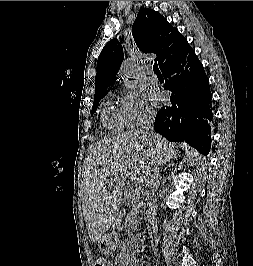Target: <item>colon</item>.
I'll return each mask as SVG.
<instances>
[{
  "mask_svg": "<svg viewBox=\"0 0 253 266\" xmlns=\"http://www.w3.org/2000/svg\"><path fill=\"white\" fill-rule=\"evenodd\" d=\"M94 266H110V263L106 258L99 257L95 260Z\"/></svg>",
  "mask_w": 253,
  "mask_h": 266,
  "instance_id": "5ec220e1",
  "label": "colon"
}]
</instances>
